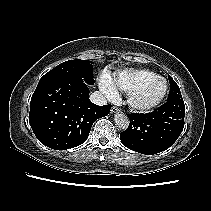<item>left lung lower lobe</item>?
<instances>
[{"label":"left lung lower lobe","mask_w":211,"mask_h":211,"mask_svg":"<svg viewBox=\"0 0 211 211\" xmlns=\"http://www.w3.org/2000/svg\"><path fill=\"white\" fill-rule=\"evenodd\" d=\"M183 98L167 100L155 111L130 114L128 128L121 132L122 144L139 153L152 155L172 146L184 127Z\"/></svg>","instance_id":"0a47b994"}]
</instances>
